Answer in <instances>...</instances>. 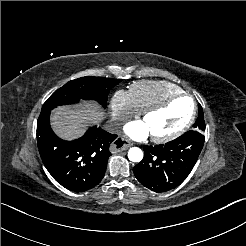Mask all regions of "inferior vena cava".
Here are the masks:
<instances>
[{"instance_id":"inferior-vena-cava-1","label":"inferior vena cava","mask_w":246,"mask_h":246,"mask_svg":"<svg viewBox=\"0 0 246 246\" xmlns=\"http://www.w3.org/2000/svg\"><path fill=\"white\" fill-rule=\"evenodd\" d=\"M112 126H113V124L108 125V129H109V131L113 132Z\"/></svg>"}]
</instances>
